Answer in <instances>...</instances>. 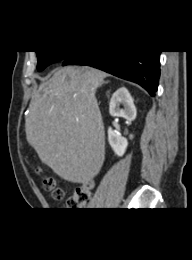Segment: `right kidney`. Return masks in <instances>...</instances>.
Segmentation results:
<instances>
[{
	"label": "right kidney",
	"mask_w": 192,
	"mask_h": 260,
	"mask_svg": "<svg viewBox=\"0 0 192 260\" xmlns=\"http://www.w3.org/2000/svg\"><path fill=\"white\" fill-rule=\"evenodd\" d=\"M123 105V108H120ZM109 113L113 117H122L131 122L136 118L137 111L129 91L125 87L119 88L113 95L109 104ZM132 138V135L130 136ZM108 141L117 156H123L128 141L117 134L111 127L108 129Z\"/></svg>",
	"instance_id": "ca27d5eb"
}]
</instances>
